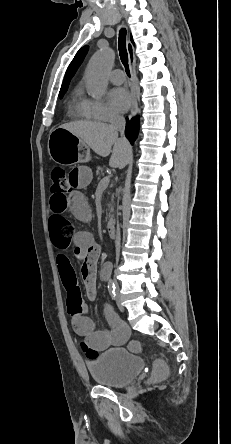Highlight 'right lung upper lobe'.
Returning a JSON list of instances; mask_svg holds the SVG:
<instances>
[{"instance_id": "1", "label": "right lung upper lobe", "mask_w": 231, "mask_h": 444, "mask_svg": "<svg viewBox=\"0 0 231 444\" xmlns=\"http://www.w3.org/2000/svg\"><path fill=\"white\" fill-rule=\"evenodd\" d=\"M131 41L134 44V42L132 40V37H131ZM87 52H88V46L82 47L77 52V54L75 55L74 59L72 60V62L70 63V65H69V67H68V69L66 71V74H65L64 81H63V84L61 86V89H67L68 88V85H69V82H70L71 78L74 76V74L76 73L77 69L81 65V63H82L85 55L87 54Z\"/></svg>"}]
</instances>
